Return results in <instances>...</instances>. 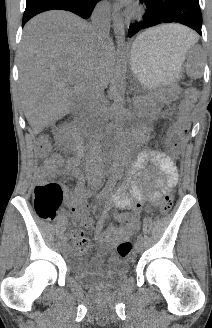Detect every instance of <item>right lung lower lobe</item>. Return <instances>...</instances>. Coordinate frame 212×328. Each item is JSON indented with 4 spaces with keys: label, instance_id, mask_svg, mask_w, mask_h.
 Returning <instances> with one entry per match:
<instances>
[{
    "label": "right lung lower lobe",
    "instance_id": "98d812e1",
    "mask_svg": "<svg viewBox=\"0 0 212 328\" xmlns=\"http://www.w3.org/2000/svg\"><path fill=\"white\" fill-rule=\"evenodd\" d=\"M100 0H26V9L23 15L22 27L33 16L48 10H66L89 18L95 5Z\"/></svg>",
    "mask_w": 212,
    "mask_h": 328
}]
</instances>
